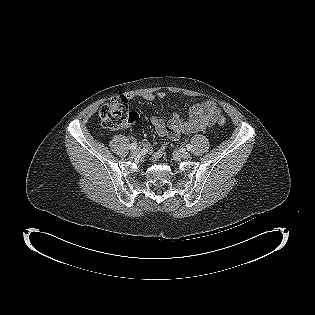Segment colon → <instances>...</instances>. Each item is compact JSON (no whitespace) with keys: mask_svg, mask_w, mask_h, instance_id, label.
Wrapping results in <instances>:
<instances>
[{"mask_svg":"<svg viewBox=\"0 0 315 315\" xmlns=\"http://www.w3.org/2000/svg\"><path fill=\"white\" fill-rule=\"evenodd\" d=\"M99 114L104 127L114 130L121 129L138 118L137 113L129 110L125 97L111 99L101 107ZM217 122L219 125H224L225 118L219 114Z\"/></svg>","mask_w":315,"mask_h":315,"instance_id":"colon-1","label":"colon"}]
</instances>
